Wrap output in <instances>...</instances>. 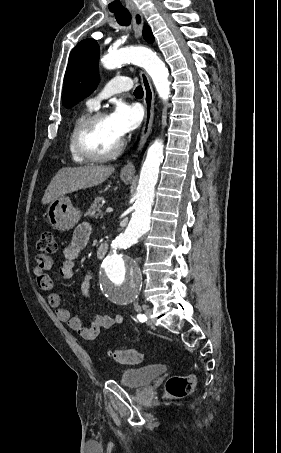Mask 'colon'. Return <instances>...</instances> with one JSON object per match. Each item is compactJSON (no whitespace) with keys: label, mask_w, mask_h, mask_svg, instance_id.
I'll return each mask as SVG.
<instances>
[{"label":"colon","mask_w":281,"mask_h":453,"mask_svg":"<svg viewBox=\"0 0 281 453\" xmlns=\"http://www.w3.org/2000/svg\"><path fill=\"white\" fill-rule=\"evenodd\" d=\"M55 232L45 230L37 243L38 254L45 250L46 255H57L58 247L55 246ZM110 359L116 363H142L146 360L144 353L133 349H112ZM192 375L180 374L172 376L167 383V393L174 398L185 397L191 387Z\"/></svg>","instance_id":"5ec220e1"}]
</instances>
